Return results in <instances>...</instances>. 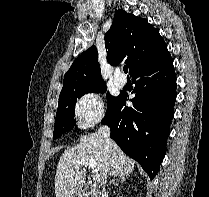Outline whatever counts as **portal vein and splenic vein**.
Segmentation results:
<instances>
[{
  "instance_id": "18ae733b",
  "label": "portal vein and splenic vein",
  "mask_w": 209,
  "mask_h": 197,
  "mask_svg": "<svg viewBox=\"0 0 209 197\" xmlns=\"http://www.w3.org/2000/svg\"><path fill=\"white\" fill-rule=\"evenodd\" d=\"M81 166H89L92 170H95L96 168V164L94 160L89 159V158L82 159L81 161H79L78 164L76 165V169H79ZM93 180L95 182H99L101 180L100 174L98 173L94 174Z\"/></svg>"
}]
</instances>
